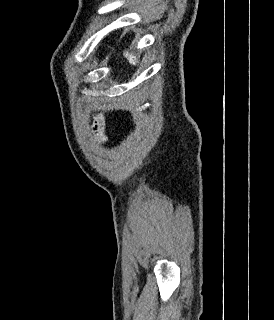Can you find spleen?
<instances>
[{
  "label": "spleen",
  "instance_id": "spleen-1",
  "mask_svg": "<svg viewBox=\"0 0 274 320\" xmlns=\"http://www.w3.org/2000/svg\"><path fill=\"white\" fill-rule=\"evenodd\" d=\"M124 56H125V58H127L129 64H131V66H137V64H139L138 56H134V54H129V52H124Z\"/></svg>",
  "mask_w": 274,
  "mask_h": 320
}]
</instances>
